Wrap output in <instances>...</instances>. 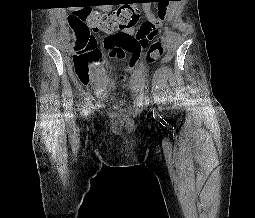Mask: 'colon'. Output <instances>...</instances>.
Segmentation results:
<instances>
[{
    "mask_svg": "<svg viewBox=\"0 0 255 218\" xmlns=\"http://www.w3.org/2000/svg\"><path fill=\"white\" fill-rule=\"evenodd\" d=\"M140 12L132 4L123 5L112 12H99L83 8L71 15V24L76 32V55L74 56L75 73L84 85H90L93 73L103 75L105 66L96 39L90 31L112 33L106 40V49L110 57H129L130 67H134L143 51L147 61L157 59L163 53L161 42H153L157 34L156 25L151 21L143 22L134 34L128 29L137 27Z\"/></svg>",
    "mask_w": 255,
    "mask_h": 218,
    "instance_id": "1",
    "label": "colon"
}]
</instances>
